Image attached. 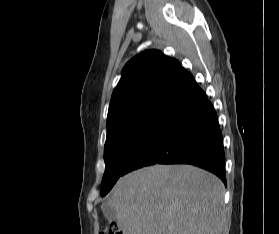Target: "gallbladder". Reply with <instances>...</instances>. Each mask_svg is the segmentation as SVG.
Here are the masks:
<instances>
[{
  "instance_id": "1",
  "label": "gallbladder",
  "mask_w": 279,
  "mask_h": 234,
  "mask_svg": "<svg viewBox=\"0 0 279 234\" xmlns=\"http://www.w3.org/2000/svg\"><path fill=\"white\" fill-rule=\"evenodd\" d=\"M102 209L106 217H108L111 220L117 219V214L114 208L109 207L108 205H104Z\"/></svg>"
}]
</instances>
